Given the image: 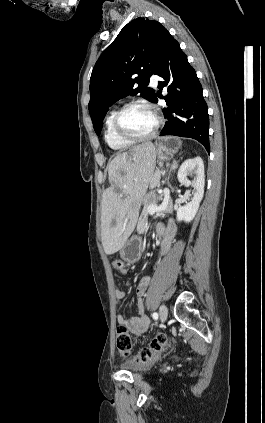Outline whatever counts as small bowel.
I'll return each mask as SVG.
<instances>
[{
	"instance_id": "1",
	"label": "small bowel",
	"mask_w": 265,
	"mask_h": 423,
	"mask_svg": "<svg viewBox=\"0 0 265 423\" xmlns=\"http://www.w3.org/2000/svg\"><path fill=\"white\" fill-rule=\"evenodd\" d=\"M162 230L164 232L163 240L161 243V253L165 254L169 251L171 244L174 240V237L176 235V226L173 223V221L169 220L165 224H158L156 226V231ZM121 275L125 276L127 275V269L124 267L120 272ZM149 284V278L147 276H144L140 278L135 293L138 297L136 308L139 316L137 317H130L127 318L126 316L122 314H118L116 316L117 323L119 325H124L127 327V329L134 335H141L144 333L148 327H149V318L145 314V306L142 297L145 295L147 291V287ZM115 296L117 300H121L125 297V292L121 289L117 288L115 290Z\"/></svg>"
}]
</instances>
